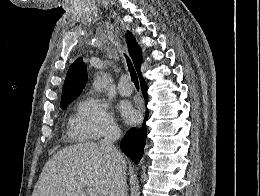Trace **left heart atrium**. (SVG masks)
I'll return each instance as SVG.
<instances>
[{
  "label": "left heart atrium",
  "instance_id": "1",
  "mask_svg": "<svg viewBox=\"0 0 260 196\" xmlns=\"http://www.w3.org/2000/svg\"><path fill=\"white\" fill-rule=\"evenodd\" d=\"M122 115L128 122H133L136 117L135 111L129 105H124L122 107ZM122 191L123 190H106V192H122Z\"/></svg>",
  "mask_w": 260,
  "mask_h": 196
}]
</instances>
